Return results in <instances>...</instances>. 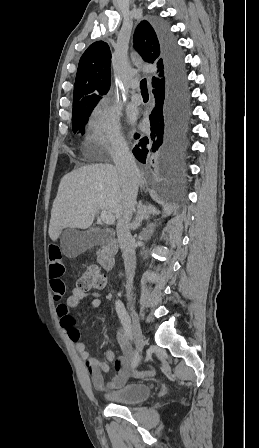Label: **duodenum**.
I'll list each match as a JSON object with an SVG mask.
<instances>
[{"instance_id":"1","label":"duodenum","mask_w":259,"mask_h":448,"mask_svg":"<svg viewBox=\"0 0 259 448\" xmlns=\"http://www.w3.org/2000/svg\"><path fill=\"white\" fill-rule=\"evenodd\" d=\"M117 250V241L110 236L105 237L98 253V263L104 270L111 271L114 268Z\"/></svg>"}]
</instances>
